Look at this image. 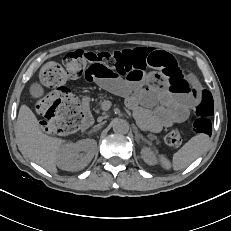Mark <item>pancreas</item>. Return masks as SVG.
Wrapping results in <instances>:
<instances>
[{
  "mask_svg": "<svg viewBox=\"0 0 231 231\" xmlns=\"http://www.w3.org/2000/svg\"><path fill=\"white\" fill-rule=\"evenodd\" d=\"M103 100H104V98L101 97V100H100L101 104H102ZM148 138L151 139V140H155L156 139V137L153 134H148Z\"/></svg>",
  "mask_w": 231,
  "mask_h": 231,
  "instance_id": "1",
  "label": "pancreas"
}]
</instances>
